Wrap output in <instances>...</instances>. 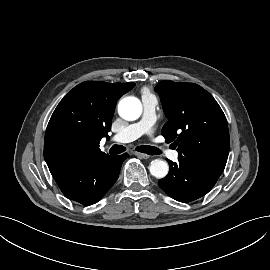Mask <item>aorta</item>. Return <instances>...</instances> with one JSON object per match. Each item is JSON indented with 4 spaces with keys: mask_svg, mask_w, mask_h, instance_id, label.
Returning <instances> with one entry per match:
<instances>
[{
    "mask_svg": "<svg viewBox=\"0 0 270 270\" xmlns=\"http://www.w3.org/2000/svg\"><path fill=\"white\" fill-rule=\"evenodd\" d=\"M118 113L123 119L134 121L142 113V104L136 97H125L118 104ZM149 170L152 176L161 179L168 174L169 166L166 161L155 159L151 162Z\"/></svg>",
    "mask_w": 270,
    "mask_h": 270,
    "instance_id": "1",
    "label": "aorta"
}]
</instances>
